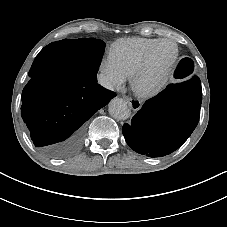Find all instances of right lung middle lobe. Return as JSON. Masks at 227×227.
<instances>
[{
	"mask_svg": "<svg viewBox=\"0 0 227 227\" xmlns=\"http://www.w3.org/2000/svg\"><path fill=\"white\" fill-rule=\"evenodd\" d=\"M73 46L65 65L75 69L74 73L95 76L98 72L105 43L94 38L72 39ZM45 74L37 68L31 67L30 77Z\"/></svg>",
	"mask_w": 227,
	"mask_h": 227,
	"instance_id": "right-lung-middle-lobe-1",
	"label": "right lung middle lobe"
}]
</instances>
